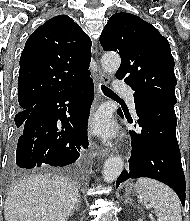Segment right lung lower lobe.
<instances>
[{
	"mask_svg": "<svg viewBox=\"0 0 190 221\" xmlns=\"http://www.w3.org/2000/svg\"><path fill=\"white\" fill-rule=\"evenodd\" d=\"M93 97V81L89 78L33 106L17 131L11 166L31 169L74 163L80 150L88 147L87 121Z\"/></svg>",
	"mask_w": 190,
	"mask_h": 221,
	"instance_id": "98d812e1",
	"label": "right lung lower lobe"
}]
</instances>
